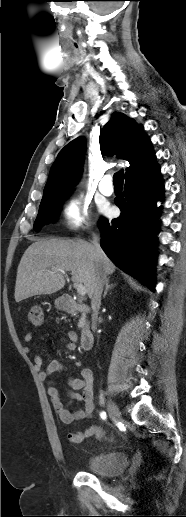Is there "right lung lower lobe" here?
<instances>
[{"label": "right lung lower lobe", "instance_id": "98d812e1", "mask_svg": "<svg viewBox=\"0 0 186 517\" xmlns=\"http://www.w3.org/2000/svg\"><path fill=\"white\" fill-rule=\"evenodd\" d=\"M163 182L156 162L126 178L125 189L115 199L121 215L108 221L100 219L101 247L123 271L154 290L153 246L158 232Z\"/></svg>", "mask_w": 186, "mask_h": 517}]
</instances>
